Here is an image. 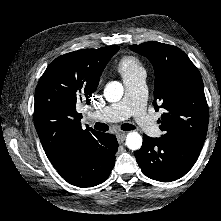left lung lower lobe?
<instances>
[{
  "mask_svg": "<svg viewBox=\"0 0 221 221\" xmlns=\"http://www.w3.org/2000/svg\"><path fill=\"white\" fill-rule=\"evenodd\" d=\"M200 151L171 137L151 138L144 134L143 145L135 152V157L144 175L170 182L181 178L192 168Z\"/></svg>",
  "mask_w": 221,
  "mask_h": 221,
  "instance_id": "left-lung-lower-lobe-1",
  "label": "left lung lower lobe"
}]
</instances>
